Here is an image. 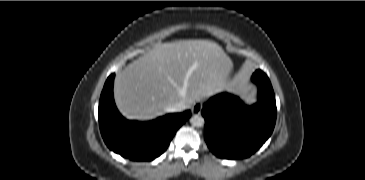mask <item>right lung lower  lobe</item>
Here are the masks:
<instances>
[{
    "mask_svg": "<svg viewBox=\"0 0 365 180\" xmlns=\"http://www.w3.org/2000/svg\"><path fill=\"white\" fill-rule=\"evenodd\" d=\"M115 74L106 80L99 108V126L106 145L132 161H151L161 155L176 131L191 116V111L168 114L149 122L126 120L117 110L113 98Z\"/></svg>",
    "mask_w": 365,
    "mask_h": 180,
    "instance_id": "1",
    "label": "right lung lower lobe"
}]
</instances>
